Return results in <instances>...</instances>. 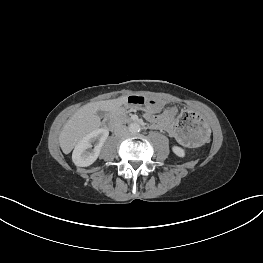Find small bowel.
I'll use <instances>...</instances> for the list:
<instances>
[{
    "instance_id": "1",
    "label": "small bowel",
    "mask_w": 263,
    "mask_h": 263,
    "mask_svg": "<svg viewBox=\"0 0 263 263\" xmlns=\"http://www.w3.org/2000/svg\"><path fill=\"white\" fill-rule=\"evenodd\" d=\"M146 119L152 124L155 129L163 130L169 134L170 137L176 139L178 142V134L170 127H167L161 122V114L149 112L145 115ZM180 143V142H179Z\"/></svg>"
}]
</instances>
